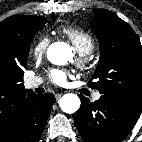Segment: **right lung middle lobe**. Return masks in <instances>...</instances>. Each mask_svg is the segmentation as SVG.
I'll return each mask as SVG.
<instances>
[{
	"instance_id": "obj_1",
	"label": "right lung middle lobe",
	"mask_w": 142,
	"mask_h": 142,
	"mask_svg": "<svg viewBox=\"0 0 142 142\" xmlns=\"http://www.w3.org/2000/svg\"><path fill=\"white\" fill-rule=\"evenodd\" d=\"M47 20L44 17H40L32 26V28L28 31L26 37L23 40V50L26 56L29 54L30 43L32 42L34 35L40 31Z\"/></svg>"
}]
</instances>
